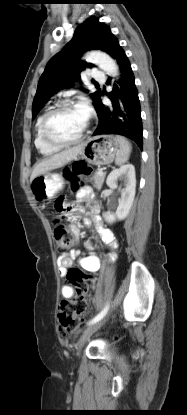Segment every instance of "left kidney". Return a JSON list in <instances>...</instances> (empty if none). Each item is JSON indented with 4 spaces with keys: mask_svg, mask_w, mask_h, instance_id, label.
Segmentation results:
<instances>
[{
    "mask_svg": "<svg viewBox=\"0 0 187 415\" xmlns=\"http://www.w3.org/2000/svg\"><path fill=\"white\" fill-rule=\"evenodd\" d=\"M118 180L123 181L124 188H119V191L121 192V198L118 200L117 210L114 214H103L106 222L110 224L116 220L125 219L129 214L136 192V176L134 166L132 164H127L121 166L119 169H114L108 175L106 184L111 189H116L118 187Z\"/></svg>",
    "mask_w": 187,
    "mask_h": 415,
    "instance_id": "obj_1",
    "label": "left kidney"
}]
</instances>
